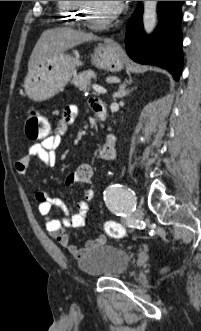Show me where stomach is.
Wrapping results in <instances>:
<instances>
[{
	"label": "stomach",
	"instance_id": "stomach-1",
	"mask_svg": "<svg viewBox=\"0 0 201 331\" xmlns=\"http://www.w3.org/2000/svg\"><path fill=\"white\" fill-rule=\"evenodd\" d=\"M123 52L110 44H99L92 55V62L102 69L111 72L123 68ZM79 55L60 53L36 70L29 72L25 78L24 87L27 95L34 101L47 100L63 88L76 74L77 67L81 66Z\"/></svg>",
	"mask_w": 201,
	"mask_h": 331
}]
</instances>
